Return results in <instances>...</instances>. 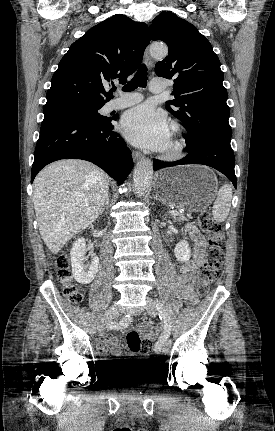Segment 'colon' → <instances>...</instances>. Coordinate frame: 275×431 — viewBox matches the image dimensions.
Segmentation results:
<instances>
[{
    "label": "colon",
    "instance_id": "5ec220e1",
    "mask_svg": "<svg viewBox=\"0 0 275 431\" xmlns=\"http://www.w3.org/2000/svg\"><path fill=\"white\" fill-rule=\"evenodd\" d=\"M197 224L201 231L208 236V247L205 263L198 271L197 293L204 296L215 281L218 271L224 261L225 237L221 227L213 220L210 214L201 213L197 218ZM57 278L63 287L64 295L74 304L83 300V294L74 283L70 269L69 258L60 256L57 261ZM127 346L133 353L148 354L152 350V342L142 340L137 331L131 330L126 336Z\"/></svg>",
    "mask_w": 275,
    "mask_h": 431
}]
</instances>
